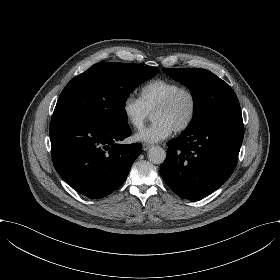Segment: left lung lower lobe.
Listing matches in <instances>:
<instances>
[{"instance_id":"left-lung-lower-lobe-1","label":"left lung lower lobe","mask_w":280,"mask_h":280,"mask_svg":"<svg viewBox=\"0 0 280 280\" xmlns=\"http://www.w3.org/2000/svg\"><path fill=\"white\" fill-rule=\"evenodd\" d=\"M241 111L206 120L169 141L160 173L182 198H203L233 173L243 141Z\"/></svg>"}]
</instances>
